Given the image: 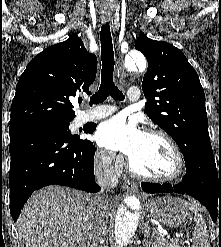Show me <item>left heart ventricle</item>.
Segmentation results:
<instances>
[{
	"instance_id": "left-heart-ventricle-1",
	"label": "left heart ventricle",
	"mask_w": 221,
	"mask_h": 247,
	"mask_svg": "<svg viewBox=\"0 0 221 247\" xmlns=\"http://www.w3.org/2000/svg\"><path fill=\"white\" fill-rule=\"evenodd\" d=\"M130 160L138 172L152 176H169L176 170L173 150L157 136L145 134L138 150Z\"/></svg>"
}]
</instances>
